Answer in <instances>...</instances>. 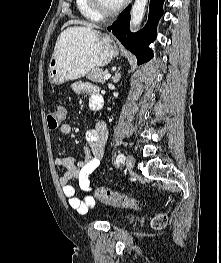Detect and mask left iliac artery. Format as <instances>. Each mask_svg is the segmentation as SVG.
<instances>
[{"mask_svg": "<svg viewBox=\"0 0 221 263\" xmlns=\"http://www.w3.org/2000/svg\"><path fill=\"white\" fill-rule=\"evenodd\" d=\"M124 161H125V156H124V154L120 153V154L117 156L116 164L123 163Z\"/></svg>", "mask_w": 221, "mask_h": 263, "instance_id": "left-iliac-artery-1", "label": "left iliac artery"}]
</instances>
